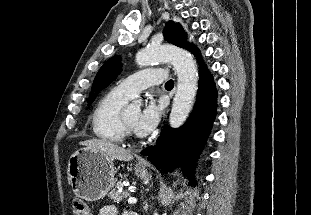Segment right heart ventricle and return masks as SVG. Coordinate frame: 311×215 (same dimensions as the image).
<instances>
[{
	"instance_id": "e07e8e85",
	"label": "right heart ventricle",
	"mask_w": 311,
	"mask_h": 215,
	"mask_svg": "<svg viewBox=\"0 0 311 215\" xmlns=\"http://www.w3.org/2000/svg\"><path fill=\"white\" fill-rule=\"evenodd\" d=\"M130 98L115 87L99 100L92 114V129L97 138L115 144L124 140L121 114Z\"/></svg>"
}]
</instances>
